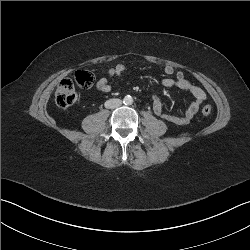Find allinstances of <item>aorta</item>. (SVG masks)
Wrapping results in <instances>:
<instances>
[{"instance_id": "aorta-1", "label": "aorta", "mask_w": 250, "mask_h": 250, "mask_svg": "<svg viewBox=\"0 0 250 250\" xmlns=\"http://www.w3.org/2000/svg\"><path fill=\"white\" fill-rule=\"evenodd\" d=\"M125 105H131L133 103V98L130 95H127L123 99Z\"/></svg>"}]
</instances>
